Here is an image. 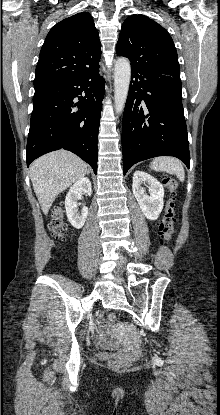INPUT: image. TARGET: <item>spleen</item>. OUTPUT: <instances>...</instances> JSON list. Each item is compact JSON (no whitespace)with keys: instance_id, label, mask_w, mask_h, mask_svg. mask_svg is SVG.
Segmentation results:
<instances>
[{"instance_id":"obj_1","label":"spleen","mask_w":220,"mask_h":415,"mask_svg":"<svg viewBox=\"0 0 220 415\" xmlns=\"http://www.w3.org/2000/svg\"><path fill=\"white\" fill-rule=\"evenodd\" d=\"M150 168L158 172L176 175L182 182L185 179V171L181 161L173 157H157L151 162Z\"/></svg>"}]
</instances>
